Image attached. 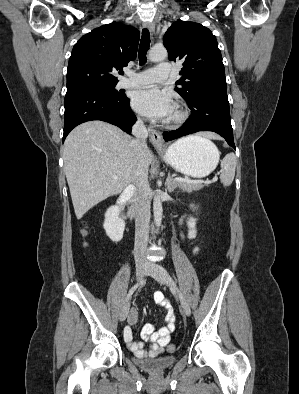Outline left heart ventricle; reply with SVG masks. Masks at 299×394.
I'll return each mask as SVG.
<instances>
[{"mask_svg": "<svg viewBox=\"0 0 299 394\" xmlns=\"http://www.w3.org/2000/svg\"><path fill=\"white\" fill-rule=\"evenodd\" d=\"M174 114H175V109H174V111H173V113L171 114V116H170V117H172Z\"/></svg>", "mask_w": 299, "mask_h": 394, "instance_id": "left-heart-ventricle-1", "label": "left heart ventricle"}]
</instances>
